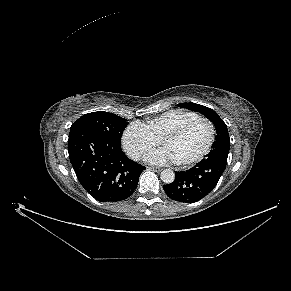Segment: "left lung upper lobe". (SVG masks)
<instances>
[{
  "mask_svg": "<svg viewBox=\"0 0 291 291\" xmlns=\"http://www.w3.org/2000/svg\"><path fill=\"white\" fill-rule=\"evenodd\" d=\"M181 108H186L192 111H197L203 114L206 118H208L211 122H213L216 128V141L214 144L218 142H230L229 133L227 130V126L224 121L215 113L212 109L195 103H180L178 104Z\"/></svg>",
  "mask_w": 291,
  "mask_h": 291,
  "instance_id": "obj_1",
  "label": "left lung upper lobe"
}]
</instances>
